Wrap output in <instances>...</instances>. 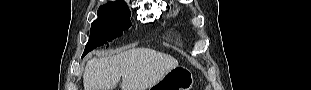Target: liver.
I'll list each match as a JSON object with an SVG mask.
<instances>
[{
  "instance_id": "liver-1",
  "label": "liver",
  "mask_w": 311,
  "mask_h": 90,
  "mask_svg": "<svg viewBox=\"0 0 311 90\" xmlns=\"http://www.w3.org/2000/svg\"><path fill=\"white\" fill-rule=\"evenodd\" d=\"M178 66V61L149 48H133L116 56L93 58L83 76L84 90H147Z\"/></svg>"
}]
</instances>
